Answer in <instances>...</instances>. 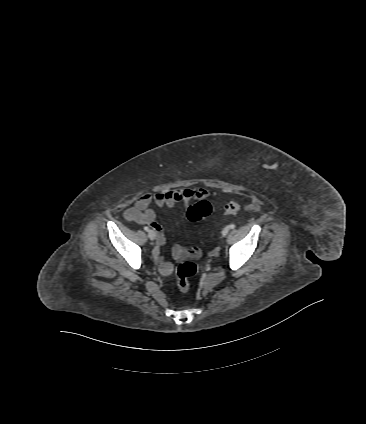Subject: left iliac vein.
<instances>
[{
  "label": "left iliac vein",
  "instance_id": "left-iliac-vein-1",
  "mask_svg": "<svg viewBox=\"0 0 366 424\" xmlns=\"http://www.w3.org/2000/svg\"><path fill=\"white\" fill-rule=\"evenodd\" d=\"M229 227L228 226H226L225 228H223V230H222V235L223 236H226L227 234H228V232H229Z\"/></svg>",
  "mask_w": 366,
  "mask_h": 424
}]
</instances>
